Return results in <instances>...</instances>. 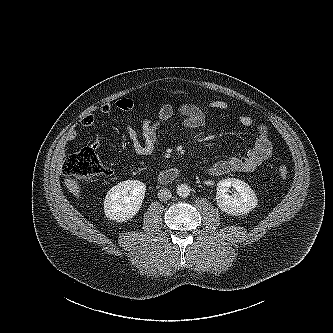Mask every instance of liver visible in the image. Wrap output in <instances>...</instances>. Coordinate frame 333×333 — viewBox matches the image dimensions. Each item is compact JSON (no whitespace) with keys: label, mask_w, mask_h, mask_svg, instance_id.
Instances as JSON below:
<instances>
[{"label":"liver","mask_w":333,"mask_h":333,"mask_svg":"<svg viewBox=\"0 0 333 333\" xmlns=\"http://www.w3.org/2000/svg\"><path fill=\"white\" fill-rule=\"evenodd\" d=\"M65 186L68 188V190L75 195L76 197H79L80 193V186L78 185V182L71 178H66L64 180Z\"/></svg>","instance_id":"obj_1"}]
</instances>
